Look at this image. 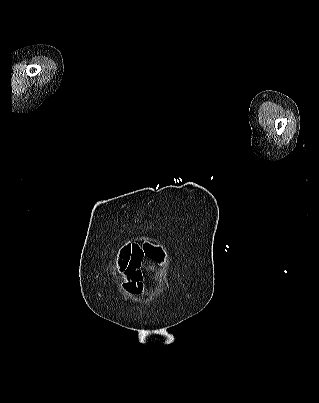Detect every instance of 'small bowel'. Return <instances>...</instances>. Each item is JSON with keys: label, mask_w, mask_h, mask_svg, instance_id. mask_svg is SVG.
I'll list each match as a JSON object with an SVG mask.
<instances>
[{"label": "small bowel", "mask_w": 319, "mask_h": 403, "mask_svg": "<svg viewBox=\"0 0 319 403\" xmlns=\"http://www.w3.org/2000/svg\"><path fill=\"white\" fill-rule=\"evenodd\" d=\"M148 258L160 263L164 260V255L160 248L148 244L145 246L132 245L123 248L117 258V268L126 277L125 287L136 292L141 289L142 264L143 259Z\"/></svg>", "instance_id": "obj_1"}]
</instances>
